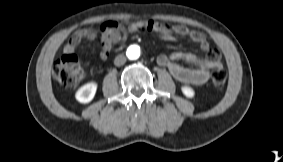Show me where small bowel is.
<instances>
[{"label":"small bowel","mask_w":283,"mask_h":162,"mask_svg":"<svg viewBox=\"0 0 283 162\" xmlns=\"http://www.w3.org/2000/svg\"><path fill=\"white\" fill-rule=\"evenodd\" d=\"M154 32L165 41H174L176 36H185L199 44L200 48L208 53L207 57H199L194 53L176 51L157 58L159 65L168 68L171 75L179 82L186 84L202 85L206 83L210 74L216 68L222 67L220 54L217 49H212L206 35L197 30H192L185 25H168L153 20L148 21H123L106 22L102 27L100 36L102 49L100 57L106 60L114 45L123 43L129 34L140 32ZM97 37L93 29H80L75 31L64 46L65 54H73L78 44L83 40H94ZM185 61L194 67H186L179 63Z\"/></svg>","instance_id":"c3829d8e"}]
</instances>
